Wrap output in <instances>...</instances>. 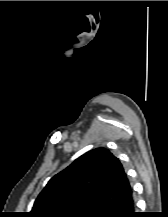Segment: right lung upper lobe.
Returning <instances> with one entry per match:
<instances>
[{
    "label": "right lung upper lobe",
    "instance_id": "right-lung-upper-lobe-1",
    "mask_svg": "<svg viewBox=\"0 0 168 217\" xmlns=\"http://www.w3.org/2000/svg\"><path fill=\"white\" fill-rule=\"evenodd\" d=\"M132 195L120 161L97 148L51 178L28 216L101 217Z\"/></svg>",
    "mask_w": 168,
    "mask_h": 217
}]
</instances>
